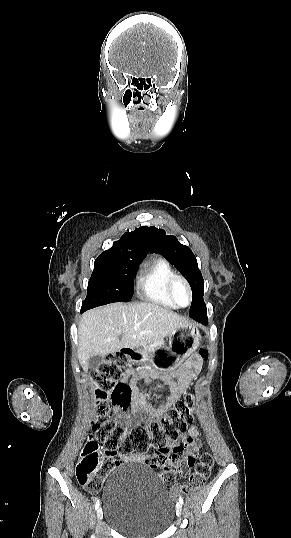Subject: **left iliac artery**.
Listing matches in <instances>:
<instances>
[{
  "label": "left iliac artery",
  "mask_w": 291,
  "mask_h": 538,
  "mask_svg": "<svg viewBox=\"0 0 291 538\" xmlns=\"http://www.w3.org/2000/svg\"><path fill=\"white\" fill-rule=\"evenodd\" d=\"M179 503H180L181 505H183V503H184L183 498H182L181 496L179 497Z\"/></svg>",
  "instance_id": "44dca946"
}]
</instances>
